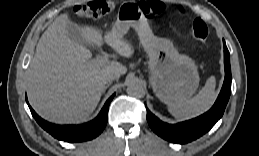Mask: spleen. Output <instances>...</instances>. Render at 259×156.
Listing matches in <instances>:
<instances>
[{
    "label": "spleen",
    "mask_w": 259,
    "mask_h": 156,
    "mask_svg": "<svg viewBox=\"0 0 259 156\" xmlns=\"http://www.w3.org/2000/svg\"><path fill=\"white\" fill-rule=\"evenodd\" d=\"M215 86V77L211 76L196 96L183 102L169 105L168 111L179 120L190 119L204 113L214 103Z\"/></svg>",
    "instance_id": "spleen-1"
}]
</instances>
